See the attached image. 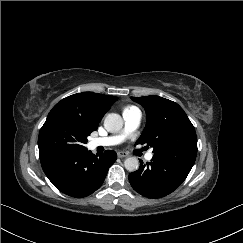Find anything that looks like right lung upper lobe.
<instances>
[{
	"label": "right lung upper lobe",
	"mask_w": 243,
	"mask_h": 243,
	"mask_svg": "<svg viewBox=\"0 0 243 243\" xmlns=\"http://www.w3.org/2000/svg\"><path fill=\"white\" fill-rule=\"evenodd\" d=\"M116 99L114 96L82 92L62 99L53 108L66 111L93 132Z\"/></svg>",
	"instance_id": "1"
}]
</instances>
